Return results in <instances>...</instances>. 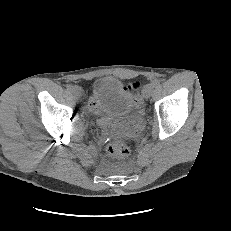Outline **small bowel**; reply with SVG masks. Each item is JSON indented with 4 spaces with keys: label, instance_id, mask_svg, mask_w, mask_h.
I'll list each match as a JSON object with an SVG mask.
<instances>
[{
    "label": "small bowel",
    "instance_id": "c3829d8e",
    "mask_svg": "<svg viewBox=\"0 0 231 231\" xmlns=\"http://www.w3.org/2000/svg\"><path fill=\"white\" fill-rule=\"evenodd\" d=\"M90 108L92 112H94L95 114H98V108L95 105V103L91 102ZM98 124L103 128L104 133L106 135L112 133L115 130V126L113 125L112 121L109 118H106V117L99 118Z\"/></svg>",
    "mask_w": 231,
    "mask_h": 231
}]
</instances>
